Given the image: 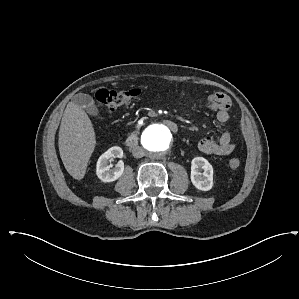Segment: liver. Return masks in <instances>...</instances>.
<instances>
[{
  "label": "liver",
  "instance_id": "liver-1",
  "mask_svg": "<svg viewBox=\"0 0 299 299\" xmlns=\"http://www.w3.org/2000/svg\"><path fill=\"white\" fill-rule=\"evenodd\" d=\"M58 145L67 172L74 179H83L96 146V134L86 112L73 102L64 111Z\"/></svg>",
  "mask_w": 299,
  "mask_h": 299
}]
</instances>
